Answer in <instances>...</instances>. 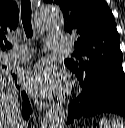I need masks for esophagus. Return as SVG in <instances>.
Here are the masks:
<instances>
[{
  "mask_svg": "<svg viewBox=\"0 0 125 128\" xmlns=\"http://www.w3.org/2000/svg\"><path fill=\"white\" fill-rule=\"evenodd\" d=\"M35 103H36L37 107L40 109H42V108L46 109L49 107V103H47L46 101L36 99Z\"/></svg>",
  "mask_w": 125,
  "mask_h": 128,
  "instance_id": "esophagus-1",
  "label": "esophagus"
}]
</instances>
